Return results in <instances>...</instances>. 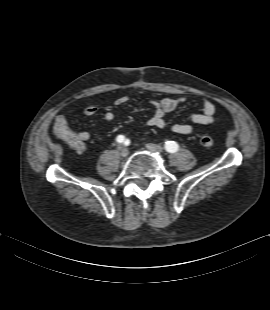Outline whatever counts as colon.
<instances>
[{
  "label": "colon",
  "instance_id": "5ec220e1",
  "mask_svg": "<svg viewBox=\"0 0 270 310\" xmlns=\"http://www.w3.org/2000/svg\"><path fill=\"white\" fill-rule=\"evenodd\" d=\"M54 130L61 139L66 141L73 148L80 149L82 147L79 135L69 127L67 121L62 117H59L55 121ZM199 142L203 147H211L214 144V139L209 134H202L199 138Z\"/></svg>",
  "mask_w": 270,
  "mask_h": 310
}]
</instances>
